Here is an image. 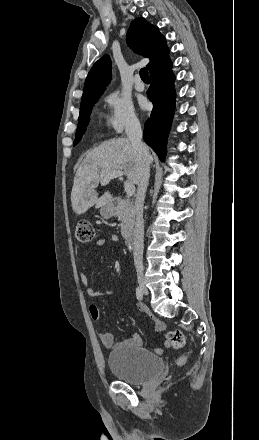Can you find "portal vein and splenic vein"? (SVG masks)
Wrapping results in <instances>:
<instances>
[{
    "instance_id": "1",
    "label": "portal vein and splenic vein",
    "mask_w": 259,
    "mask_h": 440,
    "mask_svg": "<svg viewBox=\"0 0 259 440\" xmlns=\"http://www.w3.org/2000/svg\"><path fill=\"white\" fill-rule=\"evenodd\" d=\"M123 174L124 173L122 171H114L101 181V185L103 186L107 185L110 182V180L115 178H121ZM124 189L128 197H131L135 193V186L131 181L127 180L124 182Z\"/></svg>"
}]
</instances>
